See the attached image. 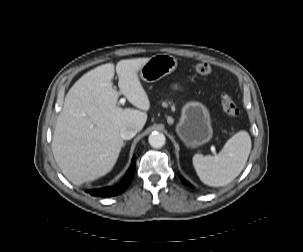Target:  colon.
Instances as JSON below:
<instances>
[{"instance_id": "5ec220e1", "label": "colon", "mask_w": 303, "mask_h": 252, "mask_svg": "<svg viewBox=\"0 0 303 252\" xmlns=\"http://www.w3.org/2000/svg\"><path fill=\"white\" fill-rule=\"evenodd\" d=\"M195 71L201 75H210L212 73V68L207 63H198L195 66ZM220 99L222 107L229 117L236 118L239 116L240 112L238 107L227 93L222 92Z\"/></svg>"}]
</instances>
